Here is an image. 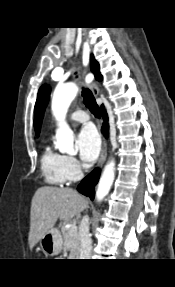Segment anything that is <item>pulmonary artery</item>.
Wrapping results in <instances>:
<instances>
[{
  "label": "pulmonary artery",
  "instance_id": "1",
  "mask_svg": "<svg viewBox=\"0 0 175 287\" xmlns=\"http://www.w3.org/2000/svg\"><path fill=\"white\" fill-rule=\"evenodd\" d=\"M69 120L72 122L87 123L89 116L86 112L77 110L70 115Z\"/></svg>",
  "mask_w": 175,
  "mask_h": 287
}]
</instances>
